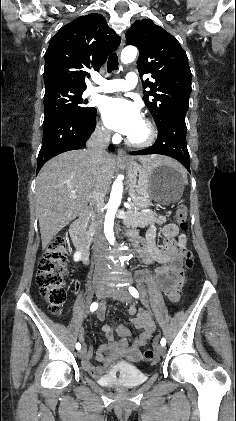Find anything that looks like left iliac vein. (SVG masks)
<instances>
[{"mask_svg":"<svg viewBox=\"0 0 236 421\" xmlns=\"http://www.w3.org/2000/svg\"><path fill=\"white\" fill-rule=\"evenodd\" d=\"M106 294L108 297H113L124 303H130L132 301L130 293L123 287H107ZM153 346L159 354L163 355L165 353V349L161 344L154 342Z\"/></svg>","mask_w":236,"mask_h":421,"instance_id":"4c4485c4","label":"left iliac vein"}]
</instances>
